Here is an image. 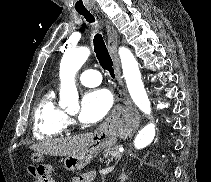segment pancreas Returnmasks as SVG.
<instances>
[{"label": "pancreas", "instance_id": "pancreas-1", "mask_svg": "<svg viewBox=\"0 0 211 182\" xmlns=\"http://www.w3.org/2000/svg\"><path fill=\"white\" fill-rule=\"evenodd\" d=\"M120 158H121V153L119 152V146L114 145L111 148H108L105 151H103L102 158H100V160L109 164L114 159L119 160Z\"/></svg>", "mask_w": 211, "mask_h": 182}]
</instances>
